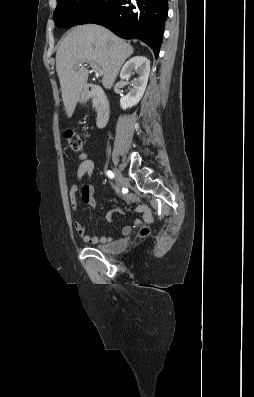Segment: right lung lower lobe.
Listing matches in <instances>:
<instances>
[{"label": "right lung lower lobe", "instance_id": "98d812e1", "mask_svg": "<svg viewBox=\"0 0 254 397\" xmlns=\"http://www.w3.org/2000/svg\"><path fill=\"white\" fill-rule=\"evenodd\" d=\"M168 0H114L109 8L89 23L103 25L125 39H139L158 57Z\"/></svg>", "mask_w": 254, "mask_h": 397}]
</instances>
